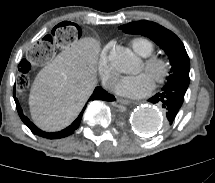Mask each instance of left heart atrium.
Masks as SVG:
<instances>
[{
    "mask_svg": "<svg viewBox=\"0 0 215 183\" xmlns=\"http://www.w3.org/2000/svg\"><path fill=\"white\" fill-rule=\"evenodd\" d=\"M153 87L152 80L147 73L125 76L117 83L115 90L118 94L138 98L147 95Z\"/></svg>",
    "mask_w": 215,
    "mask_h": 183,
    "instance_id": "left-heart-atrium-1",
    "label": "left heart atrium"
}]
</instances>
